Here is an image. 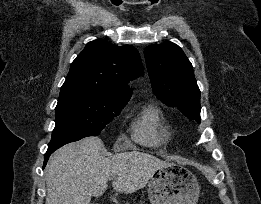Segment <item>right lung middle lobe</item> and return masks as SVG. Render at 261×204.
Instances as JSON below:
<instances>
[{"label":"right lung middle lobe","mask_w":261,"mask_h":204,"mask_svg":"<svg viewBox=\"0 0 261 204\" xmlns=\"http://www.w3.org/2000/svg\"><path fill=\"white\" fill-rule=\"evenodd\" d=\"M126 104L127 101L106 102L87 92L60 95L48 147H61L83 137L99 135Z\"/></svg>","instance_id":"right-lung-middle-lobe-1"}]
</instances>
